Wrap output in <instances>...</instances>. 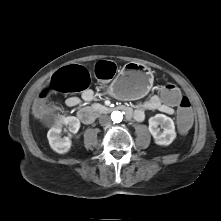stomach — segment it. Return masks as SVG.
<instances>
[{"label": "stomach", "mask_w": 221, "mask_h": 221, "mask_svg": "<svg viewBox=\"0 0 221 221\" xmlns=\"http://www.w3.org/2000/svg\"><path fill=\"white\" fill-rule=\"evenodd\" d=\"M153 84V74L145 65L129 62L110 85L112 95L120 99H137L144 96Z\"/></svg>", "instance_id": "1"}]
</instances>
